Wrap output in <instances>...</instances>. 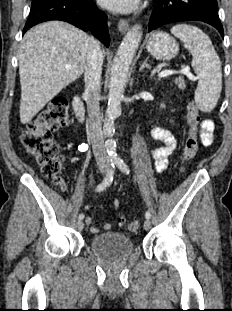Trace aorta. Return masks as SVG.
I'll list each match as a JSON object with an SVG mask.
<instances>
[{
	"label": "aorta",
	"mask_w": 232,
	"mask_h": 311,
	"mask_svg": "<svg viewBox=\"0 0 232 311\" xmlns=\"http://www.w3.org/2000/svg\"><path fill=\"white\" fill-rule=\"evenodd\" d=\"M141 37V26L139 24L132 26L123 38L113 59L108 106L106 110V120L104 122V134L107 137L105 145L110 158H115L117 156L116 142L112 138L115 132L114 119L121 115V101L123 99L129 67L138 49Z\"/></svg>",
	"instance_id": "762f6f07"
}]
</instances>
